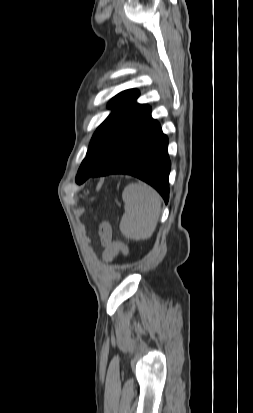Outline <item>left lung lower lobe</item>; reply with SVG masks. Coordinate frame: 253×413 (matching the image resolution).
Segmentation results:
<instances>
[{"label":"left lung lower lobe","mask_w":253,"mask_h":413,"mask_svg":"<svg viewBox=\"0 0 253 413\" xmlns=\"http://www.w3.org/2000/svg\"><path fill=\"white\" fill-rule=\"evenodd\" d=\"M121 131L111 157L87 178L118 173L132 175L152 185L167 203L171 167L168 138L158 121L151 117L150 107L137 118L122 122Z\"/></svg>","instance_id":"0a47b994"}]
</instances>
